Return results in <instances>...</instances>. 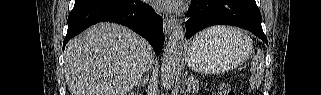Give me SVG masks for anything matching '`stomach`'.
<instances>
[{
    "mask_svg": "<svg viewBox=\"0 0 321 95\" xmlns=\"http://www.w3.org/2000/svg\"><path fill=\"white\" fill-rule=\"evenodd\" d=\"M252 51V41L238 30L219 36L200 33L189 44L186 62L194 71L222 73L246 61Z\"/></svg>",
    "mask_w": 321,
    "mask_h": 95,
    "instance_id": "0dacf381",
    "label": "stomach"
}]
</instances>
